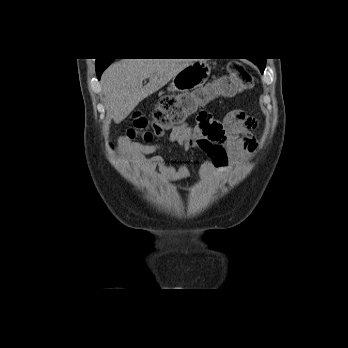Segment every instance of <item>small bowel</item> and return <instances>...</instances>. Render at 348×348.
<instances>
[{"label":"small bowel","instance_id":"obj_1","mask_svg":"<svg viewBox=\"0 0 348 348\" xmlns=\"http://www.w3.org/2000/svg\"><path fill=\"white\" fill-rule=\"evenodd\" d=\"M256 127V120L239 109L228 111L222 122L215 120L210 113L201 111L195 126L183 124L175 127L167 141L185 151L197 149L205 155L200 163L199 175L206 184L214 172L225 170L231 163H241L256 148L253 133ZM120 149L144 174L169 181H180L189 176L186 164L175 167L164 162L159 155L163 145L131 144L127 138H122Z\"/></svg>","mask_w":348,"mask_h":348}]
</instances>
